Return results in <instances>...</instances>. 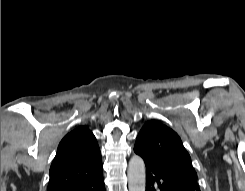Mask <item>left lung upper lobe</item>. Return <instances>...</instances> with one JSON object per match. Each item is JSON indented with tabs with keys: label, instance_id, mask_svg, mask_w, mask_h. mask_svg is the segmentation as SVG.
<instances>
[{
	"label": "left lung upper lobe",
	"instance_id": "obj_1",
	"mask_svg": "<svg viewBox=\"0 0 245 191\" xmlns=\"http://www.w3.org/2000/svg\"><path fill=\"white\" fill-rule=\"evenodd\" d=\"M145 164L169 172L190 185H198L191 157L179 135L157 121H148L139 132L134 146Z\"/></svg>",
	"mask_w": 245,
	"mask_h": 191
}]
</instances>
